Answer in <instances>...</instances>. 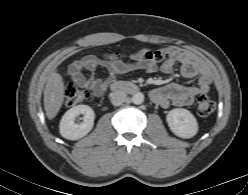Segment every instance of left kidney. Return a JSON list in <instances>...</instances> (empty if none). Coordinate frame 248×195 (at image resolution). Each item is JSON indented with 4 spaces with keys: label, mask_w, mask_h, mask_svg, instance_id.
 <instances>
[{
    "label": "left kidney",
    "mask_w": 248,
    "mask_h": 195,
    "mask_svg": "<svg viewBox=\"0 0 248 195\" xmlns=\"http://www.w3.org/2000/svg\"><path fill=\"white\" fill-rule=\"evenodd\" d=\"M166 121L170 130L178 137L188 139L198 132L197 120L187 109L176 108L169 111Z\"/></svg>",
    "instance_id": "left-kidney-1"
}]
</instances>
